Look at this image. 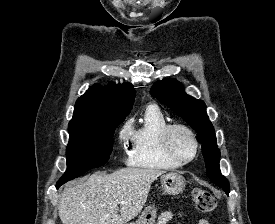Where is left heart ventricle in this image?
I'll return each mask as SVG.
<instances>
[{"label": "left heart ventricle", "mask_w": 275, "mask_h": 224, "mask_svg": "<svg viewBox=\"0 0 275 224\" xmlns=\"http://www.w3.org/2000/svg\"><path fill=\"white\" fill-rule=\"evenodd\" d=\"M174 151L181 157H189L194 152V144L191 138L182 131H176L171 141Z\"/></svg>", "instance_id": "obj_1"}]
</instances>
